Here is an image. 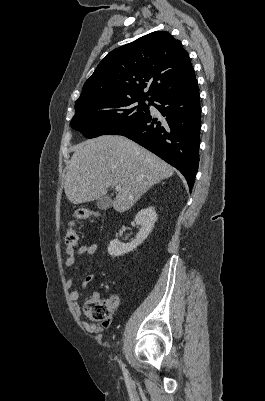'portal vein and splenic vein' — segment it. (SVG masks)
<instances>
[{"mask_svg":"<svg viewBox=\"0 0 265 401\" xmlns=\"http://www.w3.org/2000/svg\"><path fill=\"white\" fill-rule=\"evenodd\" d=\"M115 188L116 190H120L121 186H119V184H116Z\"/></svg>","mask_w":265,"mask_h":401,"instance_id":"1","label":"portal vein and splenic vein"}]
</instances>
